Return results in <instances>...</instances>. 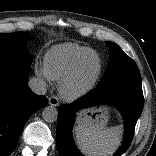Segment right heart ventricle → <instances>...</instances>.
I'll return each mask as SVG.
<instances>
[{
	"label": "right heart ventricle",
	"mask_w": 156,
	"mask_h": 156,
	"mask_svg": "<svg viewBox=\"0 0 156 156\" xmlns=\"http://www.w3.org/2000/svg\"><path fill=\"white\" fill-rule=\"evenodd\" d=\"M87 54H97L93 49L74 43L51 47L44 56V68L50 79L62 81L73 70L76 63Z\"/></svg>",
	"instance_id": "obj_1"
}]
</instances>
